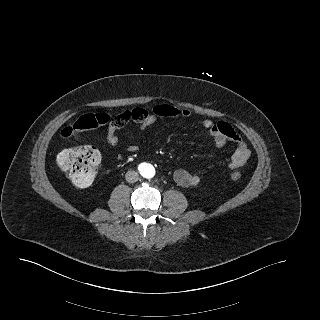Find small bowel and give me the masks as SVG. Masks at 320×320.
Returning <instances> with one entry per match:
<instances>
[{
	"label": "small bowel",
	"instance_id": "small-bowel-1",
	"mask_svg": "<svg viewBox=\"0 0 320 320\" xmlns=\"http://www.w3.org/2000/svg\"><path fill=\"white\" fill-rule=\"evenodd\" d=\"M192 115L188 109H179L177 107L168 104H157L151 111L144 108H134L124 111L120 115L116 116L117 119L114 122L109 123L107 128L106 140L112 147H116L119 143L117 131L125 127L130 123H135L138 126L139 131H145L152 124H154L159 118H184L188 119ZM202 125L207 129L211 136L214 145L217 148H222L227 142L236 143V148L228 162L230 169H237L243 166L249 156L250 150L241 140L240 136L234 131L230 124L227 122H213L206 119L202 122ZM138 146H128L129 152H136ZM174 181L181 187L189 188L197 186L201 178L199 175L189 172L185 169H177L173 173Z\"/></svg>",
	"mask_w": 320,
	"mask_h": 320
}]
</instances>
